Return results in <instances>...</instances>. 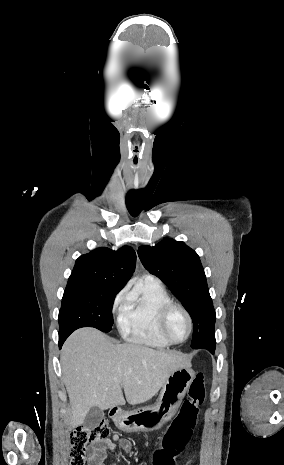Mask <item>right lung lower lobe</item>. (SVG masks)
Instances as JSON below:
<instances>
[{
    "instance_id": "1",
    "label": "right lung lower lobe",
    "mask_w": 284,
    "mask_h": 465,
    "mask_svg": "<svg viewBox=\"0 0 284 465\" xmlns=\"http://www.w3.org/2000/svg\"><path fill=\"white\" fill-rule=\"evenodd\" d=\"M71 333H72V332H68V333L59 335V348H60V349H61L63 343L65 342V340L67 339V337H68Z\"/></svg>"
}]
</instances>
